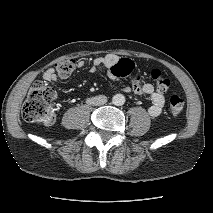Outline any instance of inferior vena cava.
Instances as JSON below:
<instances>
[{
  "mask_svg": "<svg viewBox=\"0 0 213 213\" xmlns=\"http://www.w3.org/2000/svg\"><path fill=\"white\" fill-rule=\"evenodd\" d=\"M107 102V97L105 95H99L96 97H92L87 99V103L94 106H101Z\"/></svg>",
  "mask_w": 213,
  "mask_h": 213,
  "instance_id": "inferior-vena-cava-1",
  "label": "inferior vena cava"
}]
</instances>
